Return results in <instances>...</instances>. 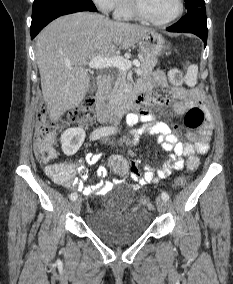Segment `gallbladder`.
<instances>
[{"mask_svg": "<svg viewBox=\"0 0 233 284\" xmlns=\"http://www.w3.org/2000/svg\"><path fill=\"white\" fill-rule=\"evenodd\" d=\"M96 89H97V86H96L95 79L92 78L91 81H90V84H89V89H88V91H89L90 93H94V92L96 91Z\"/></svg>", "mask_w": 233, "mask_h": 284, "instance_id": "obj_1", "label": "gallbladder"}]
</instances>
